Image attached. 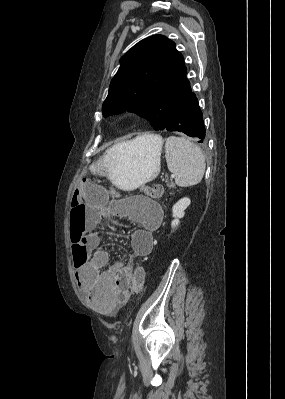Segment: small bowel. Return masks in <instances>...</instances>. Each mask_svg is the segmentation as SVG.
<instances>
[{
  "label": "small bowel",
  "mask_w": 285,
  "mask_h": 399,
  "mask_svg": "<svg viewBox=\"0 0 285 399\" xmlns=\"http://www.w3.org/2000/svg\"><path fill=\"white\" fill-rule=\"evenodd\" d=\"M97 212L98 218L131 216L140 224L130 236V257L125 262L113 263L111 247L101 245L98 235L85 230V220L69 221L73 261L83 259L76 270L78 286L101 315L111 316L128 301L130 294H140L133 288L134 257L150 253L154 244L152 234L157 232L163 214L156 206L140 204L134 213L122 212L115 204L98 207Z\"/></svg>",
  "instance_id": "c3829d8e"
}]
</instances>
